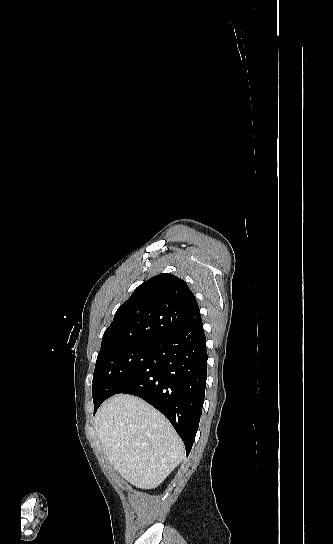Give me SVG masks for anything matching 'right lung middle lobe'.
<instances>
[{"instance_id":"right-lung-middle-lobe-1","label":"right lung middle lobe","mask_w":333,"mask_h":544,"mask_svg":"<svg viewBox=\"0 0 333 544\" xmlns=\"http://www.w3.org/2000/svg\"><path fill=\"white\" fill-rule=\"evenodd\" d=\"M155 342L119 346L97 356L93 376L94 412L108 397L123 389L147 363Z\"/></svg>"}]
</instances>
